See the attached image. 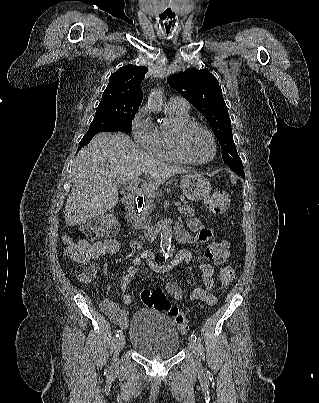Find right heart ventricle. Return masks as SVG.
<instances>
[{"instance_id": "1", "label": "right heart ventricle", "mask_w": 319, "mask_h": 403, "mask_svg": "<svg viewBox=\"0 0 319 403\" xmlns=\"http://www.w3.org/2000/svg\"><path fill=\"white\" fill-rule=\"evenodd\" d=\"M168 115L171 120V125L168 128H157L154 154L161 160L173 163H185V161L180 158L175 150L173 134L176 127L191 121L189 112L168 108Z\"/></svg>"}]
</instances>
